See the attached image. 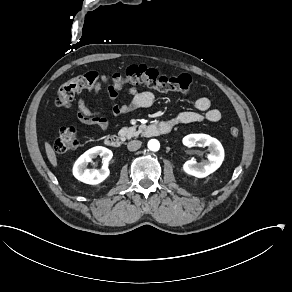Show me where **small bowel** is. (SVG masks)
<instances>
[{
	"label": "small bowel",
	"instance_id": "1",
	"mask_svg": "<svg viewBox=\"0 0 292 292\" xmlns=\"http://www.w3.org/2000/svg\"><path fill=\"white\" fill-rule=\"evenodd\" d=\"M92 91L96 98H100L102 95V85L100 83L96 84ZM107 97L110 102L111 111L117 116L150 107L156 99L153 92L140 91L136 87H131L128 90V99L124 102L118 101L117 89H109ZM195 108L196 110L194 111L179 112L164 121L171 123L173 127L201 121L216 123L222 118V112L217 108H212L211 101L207 97L201 96L196 98ZM76 117L82 124L96 126L103 132L109 129V122L103 111L100 109H90L82 97H79L76 101Z\"/></svg>",
	"mask_w": 292,
	"mask_h": 292
}]
</instances>
